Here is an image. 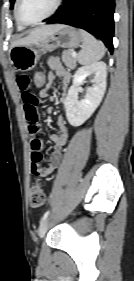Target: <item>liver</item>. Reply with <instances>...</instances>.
<instances>
[{
    "label": "liver",
    "mask_w": 134,
    "mask_h": 281,
    "mask_svg": "<svg viewBox=\"0 0 134 281\" xmlns=\"http://www.w3.org/2000/svg\"><path fill=\"white\" fill-rule=\"evenodd\" d=\"M61 27L62 25L55 24V25H47V26L36 28L33 31H31L26 37L14 41L11 45V48L18 45H29L32 43H36L44 39L45 37L51 35L52 33L58 31Z\"/></svg>",
    "instance_id": "6515ba94"
}]
</instances>
